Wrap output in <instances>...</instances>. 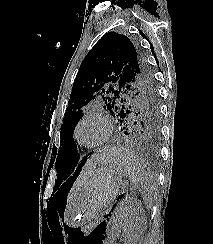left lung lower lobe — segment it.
<instances>
[{
  "mask_svg": "<svg viewBox=\"0 0 213 244\" xmlns=\"http://www.w3.org/2000/svg\"><path fill=\"white\" fill-rule=\"evenodd\" d=\"M121 131L124 135L130 138L135 144L140 145L145 149L146 152L150 154H157V144H158V134H145L142 130H137L134 126H131L129 123H121ZM90 154L80 157L76 159L73 167L71 168V172L73 175L69 178V180H75L77 175L79 174L80 169L85 164L87 157Z\"/></svg>",
  "mask_w": 213,
  "mask_h": 244,
  "instance_id": "0a47b994",
  "label": "left lung lower lobe"
}]
</instances>
